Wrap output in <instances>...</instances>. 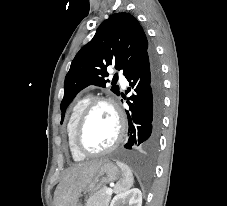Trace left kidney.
<instances>
[{
  "mask_svg": "<svg viewBox=\"0 0 227 206\" xmlns=\"http://www.w3.org/2000/svg\"><path fill=\"white\" fill-rule=\"evenodd\" d=\"M128 203L129 206H142V193L139 189L133 188L114 196L110 206H122Z\"/></svg>",
  "mask_w": 227,
  "mask_h": 206,
  "instance_id": "left-kidney-1",
  "label": "left kidney"
}]
</instances>
